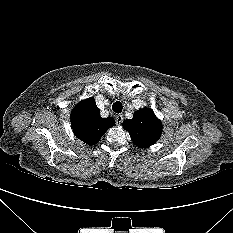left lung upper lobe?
<instances>
[{
    "instance_id": "left-lung-upper-lobe-1",
    "label": "left lung upper lobe",
    "mask_w": 233,
    "mask_h": 233,
    "mask_svg": "<svg viewBox=\"0 0 233 233\" xmlns=\"http://www.w3.org/2000/svg\"><path fill=\"white\" fill-rule=\"evenodd\" d=\"M122 126L129 132L133 143L141 148L153 145L162 133V123L150 108L135 111L133 118L125 120Z\"/></svg>"
}]
</instances>
